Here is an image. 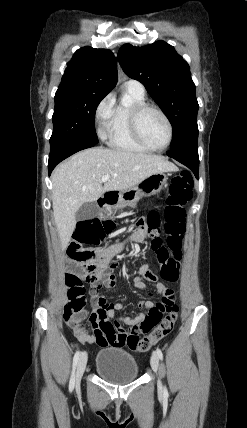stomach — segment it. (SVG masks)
Returning <instances> with one entry per match:
<instances>
[{
	"label": "stomach",
	"mask_w": 247,
	"mask_h": 428,
	"mask_svg": "<svg viewBox=\"0 0 247 428\" xmlns=\"http://www.w3.org/2000/svg\"><path fill=\"white\" fill-rule=\"evenodd\" d=\"M169 173L160 172L153 174L138 185L120 192V200L123 205H133L143 196H151L159 193L166 186Z\"/></svg>",
	"instance_id": "0dacf381"
}]
</instances>
